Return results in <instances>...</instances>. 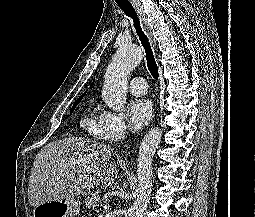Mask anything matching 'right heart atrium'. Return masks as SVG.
Here are the masks:
<instances>
[{
	"label": "right heart atrium",
	"instance_id": "1",
	"mask_svg": "<svg viewBox=\"0 0 255 217\" xmlns=\"http://www.w3.org/2000/svg\"><path fill=\"white\" fill-rule=\"evenodd\" d=\"M96 130L101 138L116 140L125 135L127 126L121 114L103 109L98 115Z\"/></svg>",
	"mask_w": 255,
	"mask_h": 217
}]
</instances>
